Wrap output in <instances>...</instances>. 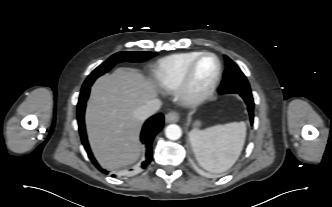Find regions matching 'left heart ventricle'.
Masks as SVG:
<instances>
[{
    "label": "left heart ventricle",
    "mask_w": 332,
    "mask_h": 207,
    "mask_svg": "<svg viewBox=\"0 0 332 207\" xmlns=\"http://www.w3.org/2000/svg\"><path fill=\"white\" fill-rule=\"evenodd\" d=\"M217 64L214 58L205 57L203 58L194 74V87L197 90L205 89L213 80L216 73Z\"/></svg>",
    "instance_id": "obj_1"
}]
</instances>
